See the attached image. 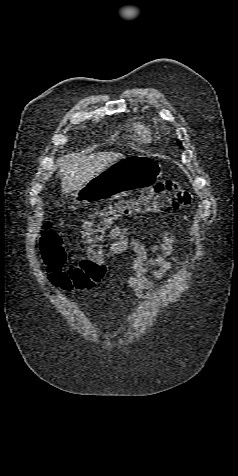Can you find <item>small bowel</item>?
Listing matches in <instances>:
<instances>
[{"instance_id":"small-bowel-1","label":"small bowel","mask_w":238,"mask_h":476,"mask_svg":"<svg viewBox=\"0 0 238 476\" xmlns=\"http://www.w3.org/2000/svg\"><path fill=\"white\" fill-rule=\"evenodd\" d=\"M108 237L112 240L106 253L108 258L121 254L128 248H131L135 253L131 274L125 277L122 283L130 287L138 298H149L155 286L146 277L148 271L154 268L152 276L156 281H159L176 262L175 257H173L175 247L172 236L165 233L160 242L151 245L152 257H149L148 248L141 243L139 237L130 236L128 227H114L109 232Z\"/></svg>"}]
</instances>
